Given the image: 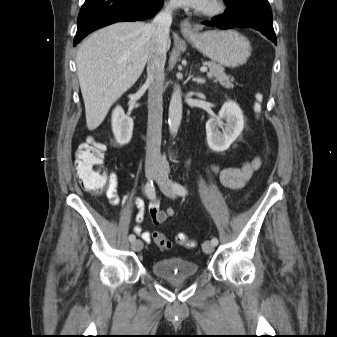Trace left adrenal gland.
<instances>
[{
	"instance_id": "left-adrenal-gland-1",
	"label": "left adrenal gland",
	"mask_w": 337,
	"mask_h": 337,
	"mask_svg": "<svg viewBox=\"0 0 337 337\" xmlns=\"http://www.w3.org/2000/svg\"><path fill=\"white\" fill-rule=\"evenodd\" d=\"M193 81L198 83V84H204L205 83V79H203V78H193Z\"/></svg>"
}]
</instances>
